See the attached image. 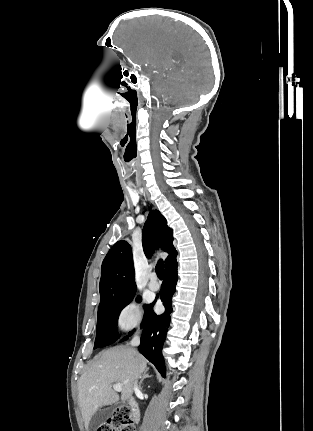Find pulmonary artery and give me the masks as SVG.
Instances as JSON below:
<instances>
[{
    "label": "pulmonary artery",
    "mask_w": 313,
    "mask_h": 431,
    "mask_svg": "<svg viewBox=\"0 0 313 431\" xmlns=\"http://www.w3.org/2000/svg\"><path fill=\"white\" fill-rule=\"evenodd\" d=\"M148 287L153 291H157L160 288V284L154 274L151 275V280L148 284Z\"/></svg>",
    "instance_id": "pulmonary-artery-1"
}]
</instances>
